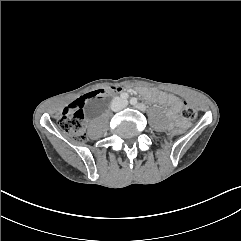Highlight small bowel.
<instances>
[{"instance_id":"c3829d8e","label":"small bowel","mask_w":241,"mask_h":241,"mask_svg":"<svg viewBox=\"0 0 241 241\" xmlns=\"http://www.w3.org/2000/svg\"><path fill=\"white\" fill-rule=\"evenodd\" d=\"M119 90L121 89L118 88V90H116L115 92H118ZM143 93L147 99L157 101L160 104L167 106L168 108L167 115L172 119L176 117V115L182 108V105H183L182 101L174 95L166 94L163 92H154L149 90H144ZM177 124L182 125L183 123L177 120Z\"/></svg>"}]
</instances>
